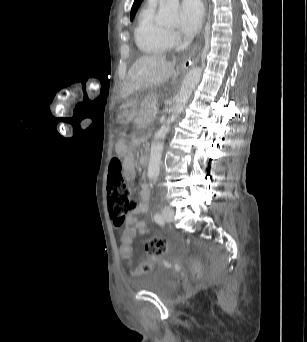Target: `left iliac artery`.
I'll return each instance as SVG.
<instances>
[{
  "label": "left iliac artery",
  "mask_w": 307,
  "mask_h": 342,
  "mask_svg": "<svg viewBox=\"0 0 307 342\" xmlns=\"http://www.w3.org/2000/svg\"><path fill=\"white\" fill-rule=\"evenodd\" d=\"M154 220H155L156 222H158V223H160V222L163 221V219H162V217H161V215H160L159 213H156V214L154 215Z\"/></svg>",
  "instance_id": "left-iliac-artery-1"
}]
</instances>
